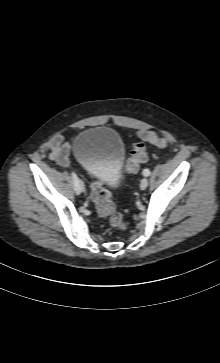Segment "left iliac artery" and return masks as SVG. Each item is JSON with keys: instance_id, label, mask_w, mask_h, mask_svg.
Here are the masks:
<instances>
[{"instance_id": "obj_1", "label": "left iliac artery", "mask_w": 220, "mask_h": 363, "mask_svg": "<svg viewBox=\"0 0 220 363\" xmlns=\"http://www.w3.org/2000/svg\"><path fill=\"white\" fill-rule=\"evenodd\" d=\"M143 175L146 176V177L149 176L150 175V170L149 169H144L143 170Z\"/></svg>"}]
</instances>
